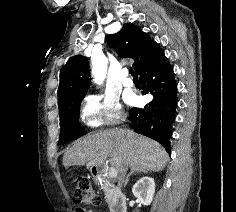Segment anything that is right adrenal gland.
<instances>
[{
	"label": "right adrenal gland",
	"instance_id": "1",
	"mask_svg": "<svg viewBox=\"0 0 236 212\" xmlns=\"http://www.w3.org/2000/svg\"><path fill=\"white\" fill-rule=\"evenodd\" d=\"M140 173H147L146 170L144 169H137V168H132L130 173L128 174V176L126 177V180H125V184L124 186L127 185V183L129 182V179L132 175H137V174H140Z\"/></svg>",
	"mask_w": 236,
	"mask_h": 212
}]
</instances>
